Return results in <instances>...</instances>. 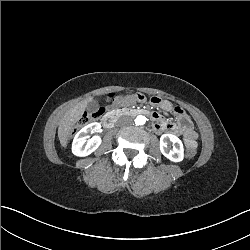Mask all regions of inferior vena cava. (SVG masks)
I'll return each instance as SVG.
<instances>
[{"label": "inferior vena cava", "mask_w": 250, "mask_h": 250, "mask_svg": "<svg viewBox=\"0 0 250 250\" xmlns=\"http://www.w3.org/2000/svg\"><path fill=\"white\" fill-rule=\"evenodd\" d=\"M124 119V117H121L119 120H118V123L121 124V120Z\"/></svg>", "instance_id": "1"}]
</instances>
